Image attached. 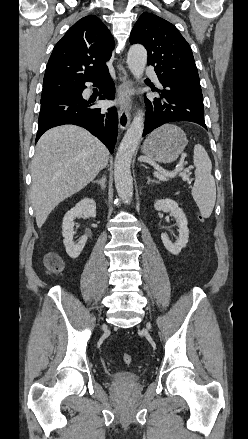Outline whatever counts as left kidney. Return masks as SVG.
Wrapping results in <instances>:
<instances>
[{
	"instance_id": "obj_1",
	"label": "left kidney",
	"mask_w": 248,
	"mask_h": 439,
	"mask_svg": "<svg viewBox=\"0 0 248 439\" xmlns=\"http://www.w3.org/2000/svg\"><path fill=\"white\" fill-rule=\"evenodd\" d=\"M154 208L157 211L170 212V214L176 219L178 225L179 238L175 243H172L166 233L161 234L162 242L165 248L173 255H178L183 248L186 247L189 238V229L187 227V219L178 204L171 199L156 200Z\"/></svg>"
}]
</instances>
